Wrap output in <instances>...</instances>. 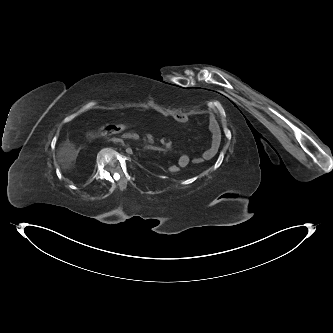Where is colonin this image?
Segmentation results:
<instances>
[{
	"label": "colon",
	"instance_id": "5ec220e1",
	"mask_svg": "<svg viewBox=\"0 0 333 333\" xmlns=\"http://www.w3.org/2000/svg\"><path fill=\"white\" fill-rule=\"evenodd\" d=\"M124 127L127 130H130L133 127V124L130 121H127L125 124H107L104 125L97 130H95L91 136L92 137H98V136H108V135H113L118 132H121ZM166 170L170 172H177V173H183L184 172V167L183 166H178V165H172V164H167L166 165Z\"/></svg>",
	"mask_w": 333,
	"mask_h": 333
}]
</instances>
